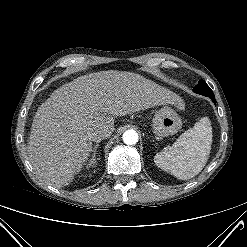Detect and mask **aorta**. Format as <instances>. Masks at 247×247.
<instances>
[{"mask_svg": "<svg viewBox=\"0 0 247 247\" xmlns=\"http://www.w3.org/2000/svg\"><path fill=\"white\" fill-rule=\"evenodd\" d=\"M123 142L127 145H134L138 142V134L135 130H127L123 134Z\"/></svg>", "mask_w": 247, "mask_h": 247, "instance_id": "1", "label": "aorta"}]
</instances>
